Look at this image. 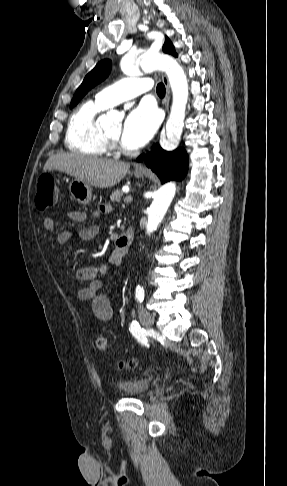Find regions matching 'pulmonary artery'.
<instances>
[{
	"label": "pulmonary artery",
	"mask_w": 287,
	"mask_h": 486,
	"mask_svg": "<svg viewBox=\"0 0 287 486\" xmlns=\"http://www.w3.org/2000/svg\"><path fill=\"white\" fill-rule=\"evenodd\" d=\"M152 87L148 78H125L96 94L95 100L108 108L149 91Z\"/></svg>",
	"instance_id": "pulmonary-artery-1"
}]
</instances>
